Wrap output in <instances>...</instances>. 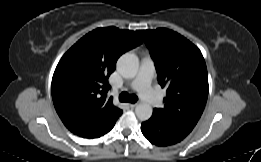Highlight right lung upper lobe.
Instances as JSON below:
<instances>
[{"mask_svg": "<svg viewBox=\"0 0 261 162\" xmlns=\"http://www.w3.org/2000/svg\"><path fill=\"white\" fill-rule=\"evenodd\" d=\"M141 43L137 31L97 28L63 55L52 78V98L72 133L91 139L113 128L122 110L107 97L108 78L118 58Z\"/></svg>", "mask_w": 261, "mask_h": 162, "instance_id": "obj_1", "label": "right lung upper lobe"}]
</instances>
